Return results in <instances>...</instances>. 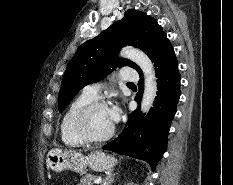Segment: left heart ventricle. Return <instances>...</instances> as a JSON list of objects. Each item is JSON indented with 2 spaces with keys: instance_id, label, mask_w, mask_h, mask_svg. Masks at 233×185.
Instances as JSON below:
<instances>
[{
  "instance_id": "b2bd125f",
  "label": "left heart ventricle",
  "mask_w": 233,
  "mask_h": 185,
  "mask_svg": "<svg viewBox=\"0 0 233 185\" xmlns=\"http://www.w3.org/2000/svg\"><path fill=\"white\" fill-rule=\"evenodd\" d=\"M112 127L113 123L106 108H97L88 116L87 128L94 137L106 135Z\"/></svg>"
}]
</instances>
